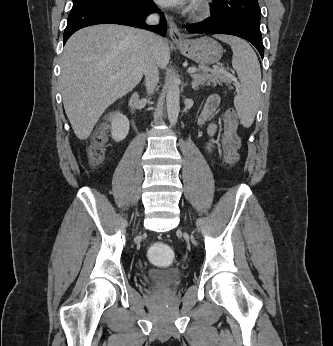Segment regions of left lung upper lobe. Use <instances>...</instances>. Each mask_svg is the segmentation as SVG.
<instances>
[{"label":"left lung upper lobe","instance_id":"1","mask_svg":"<svg viewBox=\"0 0 333 346\" xmlns=\"http://www.w3.org/2000/svg\"><path fill=\"white\" fill-rule=\"evenodd\" d=\"M211 13L220 18H238L260 27L257 0H213Z\"/></svg>","mask_w":333,"mask_h":346}]
</instances>
